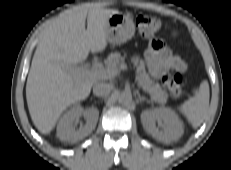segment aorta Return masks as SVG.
Returning a JSON list of instances; mask_svg holds the SVG:
<instances>
[{"label": "aorta", "instance_id": "aorta-1", "mask_svg": "<svg viewBox=\"0 0 231 170\" xmlns=\"http://www.w3.org/2000/svg\"><path fill=\"white\" fill-rule=\"evenodd\" d=\"M119 103L123 105H129L132 102V95L130 93H121L118 95Z\"/></svg>", "mask_w": 231, "mask_h": 170}]
</instances>
